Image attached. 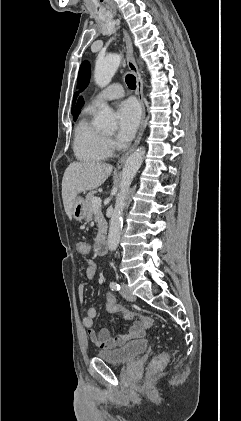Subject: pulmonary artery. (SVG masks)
<instances>
[{"label":"pulmonary artery","instance_id":"e3ab8cb5","mask_svg":"<svg viewBox=\"0 0 241 421\" xmlns=\"http://www.w3.org/2000/svg\"><path fill=\"white\" fill-rule=\"evenodd\" d=\"M124 94V90L121 84L114 83L110 85L108 88L100 92L90 104L91 108H96L104 101L114 100L122 97Z\"/></svg>","mask_w":241,"mask_h":421}]
</instances>
